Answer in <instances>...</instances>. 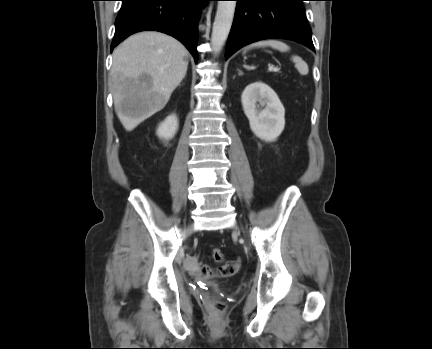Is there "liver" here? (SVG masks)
<instances>
[{
	"label": "liver",
	"mask_w": 432,
	"mask_h": 349,
	"mask_svg": "<svg viewBox=\"0 0 432 349\" xmlns=\"http://www.w3.org/2000/svg\"><path fill=\"white\" fill-rule=\"evenodd\" d=\"M186 48L156 31L136 33L113 52L111 68L115 111L127 131L162 110L187 72ZM147 80H141L142 76ZM129 101L133 110L125 112Z\"/></svg>",
	"instance_id": "liver-1"
}]
</instances>
